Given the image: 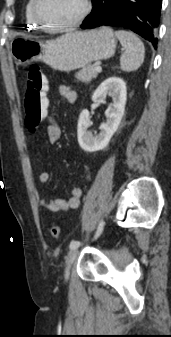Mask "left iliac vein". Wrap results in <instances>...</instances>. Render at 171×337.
<instances>
[{
  "instance_id": "1",
  "label": "left iliac vein",
  "mask_w": 171,
  "mask_h": 337,
  "mask_svg": "<svg viewBox=\"0 0 171 337\" xmlns=\"http://www.w3.org/2000/svg\"><path fill=\"white\" fill-rule=\"evenodd\" d=\"M78 256V251L77 249H72L69 251L67 257H66V265H65V277L67 278L70 273V268L74 261L76 260Z\"/></svg>"
}]
</instances>
